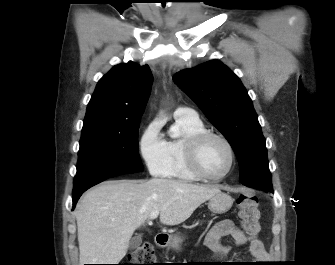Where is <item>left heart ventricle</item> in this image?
I'll use <instances>...</instances> for the list:
<instances>
[{"instance_id": "obj_1", "label": "left heart ventricle", "mask_w": 335, "mask_h": 265, "mask_svg": "<svg viewBox=\"0 0 335 265\" xmlns=\"http://www.w3.org/2000/svg\"><path fill=\"white\" fill-rule=\"evenodd\" d=\"M200 165L210 176L221 175L228 167L230 156L227 147L217 139H209L200 151Z\"/></svg>"}]
</instances>
